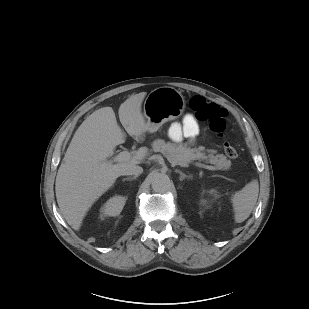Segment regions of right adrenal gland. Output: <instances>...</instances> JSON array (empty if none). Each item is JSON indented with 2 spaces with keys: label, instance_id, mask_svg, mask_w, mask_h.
Masks as SVG:
<instances>
[{
  "label": "right adrenal gland",
  "instance_id": "obj_1",
  "mask_svg": "<svg viewBox=\"0 0 309 309\" xmlns=\"http://www.w3.org/2000/svg\"><path fill=\"white\" fill-rule=\"evenodd\" d=\"M136 178H137V176L127 177V178H124L122 181L135 180Z\"/></svg>",
  "mask_w": 309,
  "mask_h": 309
}]
</instances>
